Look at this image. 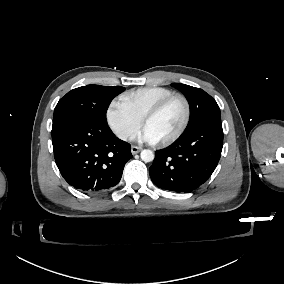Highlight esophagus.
Instances as JSON below:
<instances>
[{"mask_svg":"<svg viewBox=\"0 0 284 284\" xmlns=\"http://www.w3.org/2000/svg\"><path fill=\"white\" fill-rule=\"evenodd\" d=\"M141 150H142V148L138 147V146H132L131 147V152H132L133 155L139 153Z\"/></svg>","mask_w":284,"mask_h":284,"instance_id":"esophagus-1","label":"esophagus"}]
</instances>
